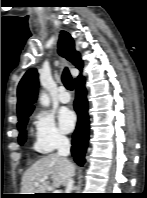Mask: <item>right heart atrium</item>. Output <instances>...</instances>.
Wrapping results in <instances>:
<instances>
[{"instance_id":"d8ad5b80","label":"right heart atrium","mask_w":147,"mask_h":198,"mask_svg":"<svg viewBox=\"0 0 147 198\" xmlns=\"http://www.w3.org/2000/svg\"><path fill=\"white\" fill-rule=\"evenodd\" d=\"M34 148L42 154L54 151L67 142V137L57 126L54 116L46 111H37L32 116Z\"/></svg>"}]
</instances>
